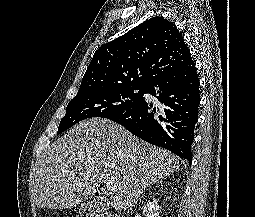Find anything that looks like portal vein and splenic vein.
I'll use <instances>...</instances> for the list:
<instances>
[{"instance_id": "18ae733b", "label": "portal vein and splenic vein", "mask_w": 255, "mask_h": 217, "mask_svg": "<svg viewBox=\"0 0 255 217\" xmlns=\"http://www.w3.org/2000/svg\"><path fill=\"white\" fill-rule=\"evenodd\" d=\"M105 183H106V187H107L108 190L116 191V188L112 185V183H110L107 180H105Z\"/></svg>"}]
</instances>
